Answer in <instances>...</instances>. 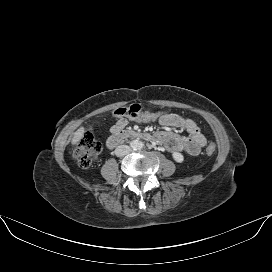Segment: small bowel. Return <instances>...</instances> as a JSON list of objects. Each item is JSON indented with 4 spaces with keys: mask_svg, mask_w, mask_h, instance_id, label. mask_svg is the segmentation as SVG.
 I'll use <instances>...</instances> for the list:
<instances>
[{
    "mask_svg": "<svg viewBox=\"0 0 272 272\" xmlns=\"http://www.w3.org/2000/svg\"><path fill=\"white\" fill-rule=\"evenodd\" d=\"M158 121L164 127L179 128L187 133L185 136L170 130L155 133L156 141L163 144L168 151H184L190 155H198L206 145V137L193 120L173 113H164L158 118ZM127 123V119H119L113 126V132L126 127Z\"/></svg>",
    "mask_w": 272,
    "mask_h": 272,
    "instance_id": "c3829d8e",
    "label": "small bowel"
}]
</instances>
